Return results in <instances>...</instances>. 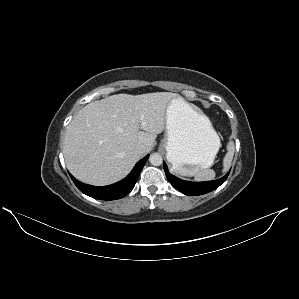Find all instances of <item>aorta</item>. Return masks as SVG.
I'll use <instances>...</instances> for the list:
<instances>
[{"instance_id": "aorta-1", "label": "aorta", "mask_w": 299, "mask_h": 299, "mask_svg": "<svg viewBox=\"0 0 299 299\" xmlns=\"http://www.w3.org/2000/svg\"><path fill=\"white\" fill-rule=\"evenodd\" d=\"M149 162L153 166H159L162 164L163 159L162 156L159 153H153L149 157Z\"/></svg>"}]
</instances>
